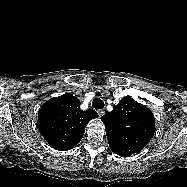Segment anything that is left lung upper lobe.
<instances>
[{
    "label": "left lung upper lobe",
    "instance_id": "5c2ea615",
    "mask_svg": "<svg viewBox=\"0 0 187 187\" xmlns=\"http://www.w3.org/2000/svg\"><path fill=\"white\" fill-rule=\"evenodd\" d=\"M110 149L121 157L140 152L155 133L153 113L129 96L101 117Z\"/></svg>",
    "mask_w": 187,
    "mask_h": 187
}]
</instances>
